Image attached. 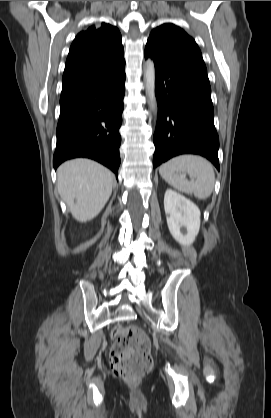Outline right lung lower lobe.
<instances>
[{"instance_id":"1","label":"right lung lower lobe","mask_w":271,"mask_h":418,"mask_svg":"<svg viewBox=\"0 0 271 418\" xmlns=\"http://www.w3.org/2000/svg\"><path fill=\"white\" fill-rule=\"evenodd\" d=\"M125 77L123 65L95 86L60 101L55 169L65 160L87 157L110 168L118 178Z\"/></svg>"}]
</instances>
